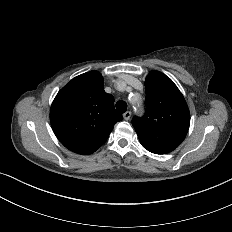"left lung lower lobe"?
Instances as JSON below:
<instances>
[{"mask_svg": "<svg viewBox=\"0 0 232 232\" xmlns=\"http://www.w3.org/2000/svg\"><path fill=\"white\" fill-rule=\"evenodd\" d=\"M150 152L155 153V154H165V153H168V152H164L162 150H157V149L150 150Z\"/></svg>", "mask_w": 232, "mask_h": 232, "instance_id": "obj_1", "label": "left lung lower lobe"}]
</instances>
